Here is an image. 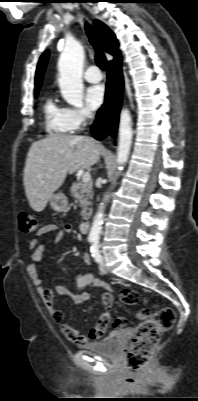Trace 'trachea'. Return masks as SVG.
<instances>
[{
	"mask_svg": "<svg viewBox=\"0 0 198 401\" xmlns=\"http://www.w3.org/2000/svg\"><path fill=\"white\" fill-rule=\"evenodd\" d=\"M85 30H86V34L89 38V41L95 50L96 64L100 67V69L106 70L107 60L100 47L99 39H98L95 31L88 23L85 24Z\"/></svg>",
	"mask_w": 198,
	"mask_h": 401,
	"instance_id": "trachea-1",
	"label": "trachea"
}]
</instances>
